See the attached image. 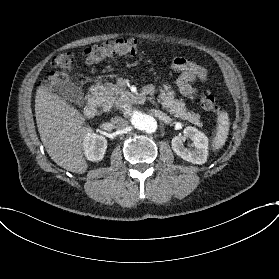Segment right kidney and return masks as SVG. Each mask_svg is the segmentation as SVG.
Masks as SVG:
<instances>
[{
	"instance_id": "obj_1",
	"label": "right kidney",
	"mask_w": 279,
	"mask_h": 279,
	"mask_svg": "<svg viewBox=\"0 0 279 279\" xmlns=\"http://www.w3.org/2000/svg\"><path fill=\"white\" fill-rule=\"evenodd\" d=\"M107 148L105 137L93 134L88 130V134L84 139L85 155L90 161H101Z\"/></svg>"
}]
</instances>
